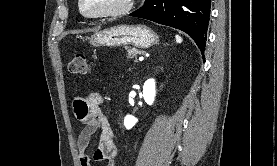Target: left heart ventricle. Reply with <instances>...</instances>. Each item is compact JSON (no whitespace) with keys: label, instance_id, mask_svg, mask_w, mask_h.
Instances as JSON below:
<instances>
[{"label":"left heart ventricle","instance_id":"b2bd125f","mask_svg":"<svg viewBox=\"0 0 277 166\" xmlns=\"http://www.w3.org/2000/svg\"><path fill=\"white\" fill-rule=\"evenodd\" d=\"M126 0H84L83 6L87 12L96 13L121 7Z\"/></svg>","mask_w":277,"mask_h":166}]
</instances>
